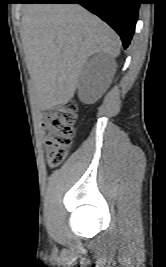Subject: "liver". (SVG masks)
Here are the masks:
<instances>
[{"mask_svg": "<svg viewBox=\"0 0 166 267\" xmlns=\"http://www.w3.org/2000/svg\"><path fill=\"white\" fill-rule=\"evenodd\" d=\"M21 38L40 110L68 103L94 53L120 54L118 35L78 4H28Z\"/></svg>", "mask_w": 166, "mask_h": 267, "instance_id": "1", "label": "liver"}]
</instances>
